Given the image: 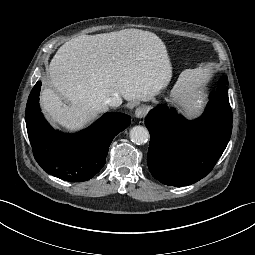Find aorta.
<instances>
[{
    "instance_id": "obj_1",
    "label": "aorta",
    "mask_w": 255,
    "mask_h": 255,
    "mask_svg": "<svg viewBox=\"0 0 255 255\" xmlns=\"http://www.w3.org/2000/svg\"><path fill=\"white\" fill-rule=\"evenodd\" d=\"M130 139L133 143L137 145L145 144L149 139V132L143 126H134L130 130Z\"/></svg>"
}]
</instances>
